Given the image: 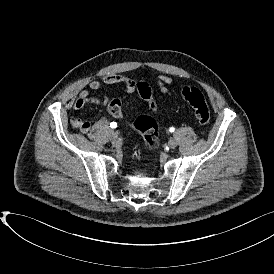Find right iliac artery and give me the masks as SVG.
I'll use <instances>...</instances> for the list:
<instances>
[{
    "label": "right iliac artery",
    "mask_w": 274,
    "mask_h": 274,
    "mask_svg": "<svg viewBox=\"0 0 274 274\" xmlns=\"http://www.w3.org/2000/svg\"><path fill=\"white\" fill-rule=\"evenodd\" d=\"M110 127H111L112 129L116 128V127H117V123H116V122L110 123Z\"/></svg>",
    "instance_id": "right-iliac-artery-1"
}]
</instances>
